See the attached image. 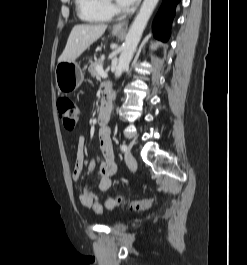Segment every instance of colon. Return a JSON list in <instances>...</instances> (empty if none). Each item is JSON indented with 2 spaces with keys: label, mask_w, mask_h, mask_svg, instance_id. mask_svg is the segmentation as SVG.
<instances>
[{
  "label": "colon",
  "mask_w": 247,
  "mask_h": 265,
  "mask_svg": "<svg viewBox=\"0 0 247 265\" xmlns=\"http://www.w3.org/2000/svg\"><path fill=\"white\" fill-rule=\"evenodd\" d=\"M57 108L63 125L69 130H74L80 118V109L78 105L68 98H60L57 101ZM116 201L119 204L127 205L131 210L142 211L150 208L154 200L152 198H147L130 201L125 196L118 194L116 196Z\"/></svg>",
  "instance_id": "colon-1"
}]
</instances>
